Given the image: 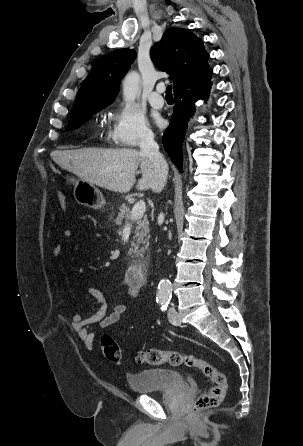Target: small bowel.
<instances>
[{"label":"small bowel","mask_w":303,"mask_h":446,"mask_svg":"<svg viewBox=\"0 0 303 446\" xmlns=\"http://www.w3.org/2000/svg\"><path fill=\"white\" fill-rule=\"evenodd\" d=\"M74 235L75 233L72 229L67 228L63 231V237L66 240L72 239ZM62 250V245L56 244L53 248L54 256H60ZM139 291L140 287L133 286L128 283V287L126 290L127 299L131 301L136 300L139 297ZM87 294L96 301V303L98 304L97 309L87 317H82L79 313L74 312L71 315V322L72 328L77 333L78 337L88 348H92L95 343V334L90 329V327L92 325H97L100 328H106L113 325L114 323L119 321L123 314L126 312L127 305L123 302L116 303L113 306L112 311L109 312L105 294L101 290L95 287H88Z\"/></svg>","instance_id":"c3829d8e"}]
</instances>
